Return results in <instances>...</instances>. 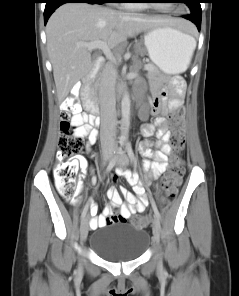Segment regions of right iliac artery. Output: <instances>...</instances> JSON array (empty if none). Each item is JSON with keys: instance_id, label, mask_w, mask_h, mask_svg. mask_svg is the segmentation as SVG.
I'll return each mask as SVG.
<instances>
[{"instance_id": "82829eb1", "label": "right iliac artery", "mask_w": 239, "mask_h": 296, "mask_svg": "<svg viewBox=\"0 0 239 296\" xmlns=\"http://www.w3.org/2000/svg\"><path fill=\"white\" fill-rule=\"evenodd\" d=\"M118 158V154L115 155V157L110 161L109 165L107 166L106 173L110 172L114 165L116 164ZM88 208H84V211L81 213V219L80 222L82 223L85 220V216H87Z\"/></svg>"}]
</instances>
